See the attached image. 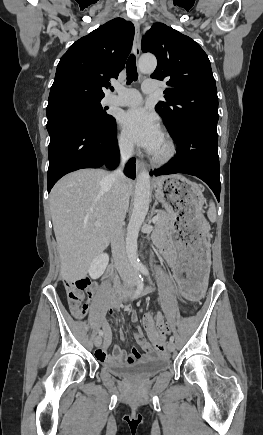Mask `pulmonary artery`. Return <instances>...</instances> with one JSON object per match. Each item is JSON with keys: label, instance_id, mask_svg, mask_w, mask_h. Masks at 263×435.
Masks as SVG:
<instances>
[{"label": "pulmonary artery", "instance_id": "pulmonary-artery-1", "mask_svg": "<svg viewBox=\"0 0 263 435\" xmlns=\"http://www.w3.org/2000/svg\"><path fill=\"white\" fill-rule=\"evenodd\" d=\"M157 90V83L152 80L145 81L142 85V92L145 94H152ZM116 94L110 95L106 98V102L111 105L118 106H139L142 104L143 99L139 91L136 89L116 87Z\"/></svg>", "mask_w": 263, "mask_h": 435}]
</instances>
